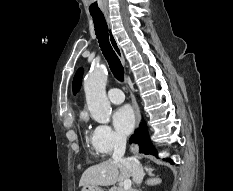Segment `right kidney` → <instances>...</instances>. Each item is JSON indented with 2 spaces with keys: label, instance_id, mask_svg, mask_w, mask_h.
<instances>
[{
  "label": "right kidney",
  "instance_id": "obj_1",
  "mask_svg": "<svg viewBox=\"0 0 233 191\" xmlns=\"http://www.w3.org/2000/svg\"><path fill=\"white\" fill-rule=\"evenodd\" d=\"M161 183V179L159 178H155L153 181H152V185H156V184H160Z\"/></svg>",
  "mask_w": 233,
  "mask_h": 191
}]
</instances>
